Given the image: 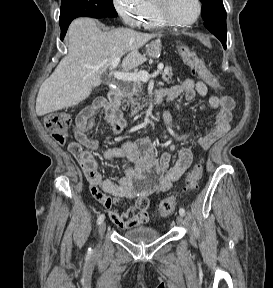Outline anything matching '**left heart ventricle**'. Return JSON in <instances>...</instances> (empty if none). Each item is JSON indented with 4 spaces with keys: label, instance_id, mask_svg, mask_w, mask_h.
<instances>
[{
    "label": "left heart ventricle",
    "instance_id": "left-heart-ventricle-1",
    "mask_svg": "<svg viewBox=\"0 0 273 288\" xmlns=\"http://www.w3.org/2000/svg\"><path fill=\"white\" fill-rule=\"evenodd\" d=\"M168 12L175 21H189L193 19L197 13L196 0H169Z\"/></svg>",
    "mask_w": 273,
    "mask_h": 288
}]
</instances>
